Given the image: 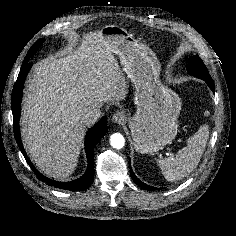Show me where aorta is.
Masks as SVG:
<instances>
[{"label": "aorta", "instance_id": "762f6f07", "mask_svg": "<svg viewBox=\"0 0 236 236\" xmlns=\"http://www.w3.org/2000/svg\"><path fill=\"white\" fill-rule=\"evenodd\" d=\"M110 144L114 148L121 149L125 144V139L122 134L114 133L110 137Z\"/></svg>", "mask_w": 236, "mask_h": 236}]
</instances>
